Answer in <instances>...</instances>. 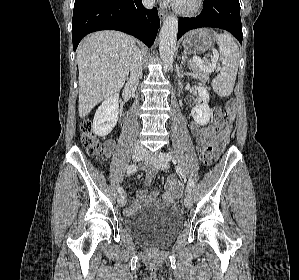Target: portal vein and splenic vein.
I'll use <instances>...</instances> for the list:
<instances>
[{
  "mask_svg": "<svg viewBox=\"0 0 299 280\" xmlns=\"http://www.w3.org/2000/svg\"><path fill=\"white\" fill-rule=\"evenodd\" d=\"M192 62L198 65L200 69L208 73L213 72L217 67L216 63L206 66L199 57H194Z\"/></svg>",
  "mask_w": 299,
  "mask_h": 280,
  "instance_id": "18ae733b",
  "label": "portal vein and splenic vein"
}]
</instances>
